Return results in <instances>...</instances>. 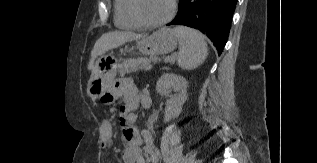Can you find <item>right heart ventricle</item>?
Listing matches in <instances>:
<instances>
[{"mask_svg":"<svg viewBox=\"0 0 317 163\" xmlns=\"http://www.w3.org/2000/svg\"><path fill=\"white\" fill-rule=\"evenodd\" d=\"M129 0H115V25L124 30H135L141 26L134 20L129 10Z\"/></svg>","mask_w":317,"mask_h":163,"instance_id":"e07e8e85","label":"right heart ventricle"}]
</instances>
